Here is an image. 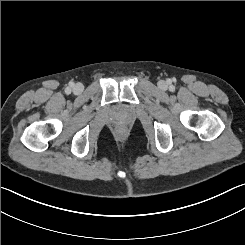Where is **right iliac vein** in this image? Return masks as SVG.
Returning <instances> with one entry per match:
<instances>
[{
	"label": "right iliac vein",
	"instance_id": "63e3f726",
	"mask_svg": "<svg viewBox=\"0 0 245 245\" xmlns=\"http://www.w3.org/2000/svg\"><path fill=\"white\" fill-rule=\"evenodd\" d=\"M82 91H83V85L81 83H78L73 87V92L77 95L80 94Z\"/></svg>",
	"mask_w": 245,
	"mask_h": 245
}]
</instances>
